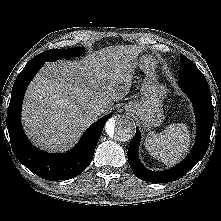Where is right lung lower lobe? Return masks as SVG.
<instances>
[{"instance_id": "1", "label": "right lung lower lobe", "mask_w": 221, "mask_h": 221, "mask_svg": "<svg viewBox=\"0 0 221 221\" xmlns=\"http://www.w3.org/2000/svg\"><path fill=\"white\" fill-rule=\"evenodd\" d=\"M43 64V61H29L17 76L7 112V129L12 150L21 164L41 178L51 181L66 180L78 176L88 167L104 125L111 115L108 114L92 124L77 146L67 153L49 154L34 147L21 125V105L28 84Z\"/></svg>"}]
</instances>
